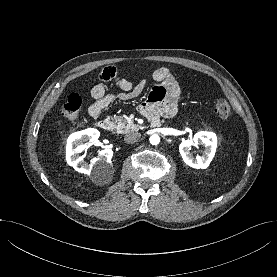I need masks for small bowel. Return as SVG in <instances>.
Listing matches in <instances>:
<instances>
[{
	"mask_svg": "<svg viewBox=\"0 0 277 277\" xmlns=\"http://www.w3.org/2000/svg\"><path fill=\"white\" fill-rule=\"evenodd\" d=\"M152 79L159 85L153 87L148 99L139 106V111L147 118L172 117L178 109L180 99V86L177 78L167 69L159 68L152 74ZM100 82L91 89L94 102L90 105L89 115L97 119L102 111L115 101H124L139 96L146 87L147 79H142L137 84L121 78L113 67L104 68L99 74ZM112 81L120 90L117 93H107L106 82Z\"/></svg>",
	"mask_w": 277,
	"mask_h": 277,
	"instance_id": "c3829d8e",
	"label": "small bowel"
}]
</instances>
